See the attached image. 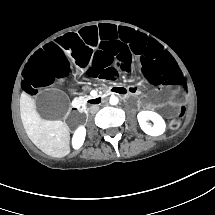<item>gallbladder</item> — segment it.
I'll list each match as a JSON object with an SVG mask.
<instances>
[{
	"mask_svg": "<svg viewBox=\"0 0 215 215\" xmlns=\"http://www.w3.org/2000/svg\"><path fill=\"white\" fill-rule=\"evenodd\" d=\"M36 106L42 117L59 120L64 117L69 107V101L60 91H45L39 95Z\"/></svg>",
	"mask_w": 215,
	"mask_h": 215,
	"instance_id": "gallbladder-1",
	"label": "gallbladder"
}]
</instances>
